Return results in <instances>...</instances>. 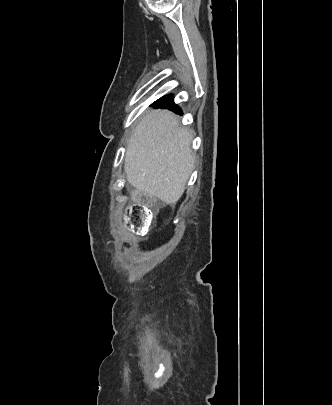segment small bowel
Masks as SVG:
<instances>
[{
  "label": "small bowel",
  "instance_id": "small-bowel-1",
  "mask_svg": "<svg viewBox=\"0 0 332 405\" xmlns=\"http://www.w3.org/2000/svg\"><path fill=\"white\" fill-rule=\"evenodd\" d=\"M121 184H126V179H121Z\"/></svg>",
  "mask_w": 332,
  "mask_h": 405
}]
</instances>
